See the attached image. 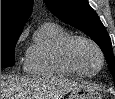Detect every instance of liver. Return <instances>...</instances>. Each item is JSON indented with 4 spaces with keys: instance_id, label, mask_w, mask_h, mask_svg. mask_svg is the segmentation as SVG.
<instances>
[{
    "instance_id": "obj_1",
    "label": "liver",
    "mask_w": 115,
    "mask_h": 99,
    "mask_svg": "<svg viewBox=\"0 0 115 99\" xmlns=\"http://www.w3.org/2000/svg\"><path fill=\"white\" fill-rule=\"evenodd\" d=\"M82 86L59 76L7 77L1 79V99H61Z\"/></svg>"
}]
</instances>
